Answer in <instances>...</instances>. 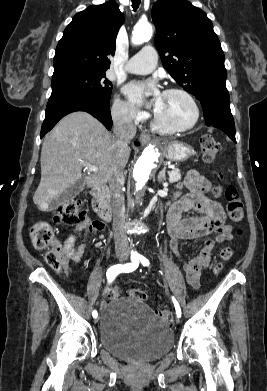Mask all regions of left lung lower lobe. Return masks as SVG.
<instances>
[{
  "mask_svg": "<svg viewBox=\"0 0 267 391\" xmlns=\"http://www.w3.org/2000/svg\"><path fill=\"white\" fill-rule=\"evenodd\" d=\"M207 126H214L225 132L234 142L235 125L230 110L229 96H210L200 100Z\"/></svg>",
  "mask_w": 267,
  "mask_h": 391,
  "instance_id": "0a47b994",
  "label": "left lung lower lobe"
}]
</instances>
